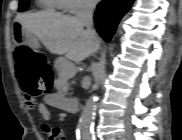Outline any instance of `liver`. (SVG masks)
<instances>
[{
  "label": "liver",
  "instance_id": "liver-1",
  "mask_svg": "<svg viewBox=\"0 0 182 140\" xmlns=\"http://www.w3.org/2000/svg\"><path fill=\"white\" fill-rule=\"evenodd\" d=\"M26 36H35L48 51L80 62L87 58L94 48L89 33L76 17L53 11H41L17 16ZM100 41L98 38V47Z\"/></svg>",
  "mask_w": 182,
  "mask_h": 140
}]
</instances>
